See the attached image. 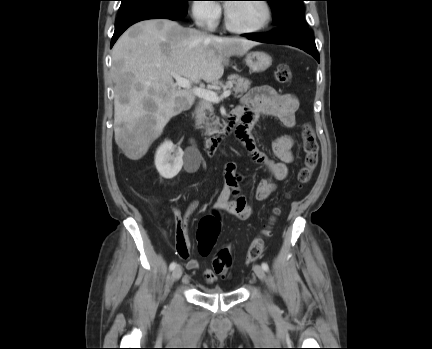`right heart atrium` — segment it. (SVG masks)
I'll return each mask as SVG.
<instances>
[{
    "label": "right heart atrium",
    "instance_id": "1",
    "mask_svg": "<svg viewBox=\"0 0 432 349\" xmlns=\"http://www.w3.org/2000/svg\"><path fill=\"white\" fill-rule=\"evenodd\" d=\"M191 13L197 22L207 27H214L221 17V8L213 0H193Z\"/></svg>",
    "mask_w": 432,
    "mask_h": 349
}]
</instances>
